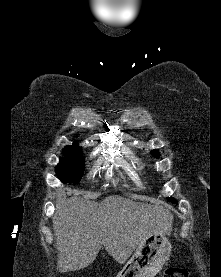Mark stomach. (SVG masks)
Returning <instances> with one entry per match:
<instances>
[{
    "instance_id": "0dacf381",
    "label": "stomach",
    "mask_w": 221,
    "mask_h": 277,
    "mask_svg": "<svg viewBox=\"0 0 221 277\" xmlns=\"http://www.w3.org/2000/svg\"><path fill=\"white\" fill-rule=\"evenodd\" d=\"M171 251L166 234H152L139 244L117 277H154L169 260Z\"/></svg>"
}]
</instances>
